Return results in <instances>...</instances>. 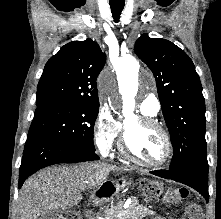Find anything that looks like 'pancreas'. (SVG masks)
<instances>
[{
	"mask_svg": "<svg viewBox=\"0 0 221 219\" xmlns=\"http://www.w3.org/2000/svg\"><path fill=\"white\" fill-rule=\"evenodd\" d=\"M154 214V211L139 204L138 200L133 198L127 209H123L122 206L106 209L102 219H142Z\"/></svg>",
	"mask_w": 221,
	"mask_h": 219,
	"instance_id": "cf45deb5",
	"label": "pancreas"
}]
</instances>
